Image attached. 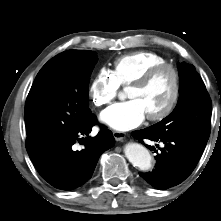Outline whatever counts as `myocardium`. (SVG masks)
Segmentation results:
<instances>
[{
    "label": "myocardium",
    "mask_w": 221,
    "mask_h": 221,
    "mask_svg": "<svg viewBox=\"0 0 221 221\" xmlns=\"http://www.w3.org/2000/svg\"><path fill=\"white\" fill-rule=\"evenodd\" d=\"M163 71H170L173 76V91L168 104L158 113L147 115L150 121H161L167 118L176 107L181 93V75L176 66L170 63H163L151 67L143 73L138 79L130 84V87L144 88Z\"/></svg>",
    "instance_id": "1"
}]
</instances>
